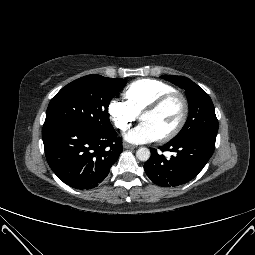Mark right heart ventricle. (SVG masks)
Here are the masks:
<instances>
[{"label":"right heart ventricle","instance_id":"e07e8e85","mask_svg":"<svg viewBox=\"0 0 255 255\" xmlns=\"http://www.w3.org/2000/svg\"><path fill=\"white\" fill-rule=\"evenodd\" d=\"M168 83L155 79H142L131 83L124 91L126 103L137 114L159 96L174 91Z\"/></svg>","mask_w":255,"mask_h":255}]
</instances>
